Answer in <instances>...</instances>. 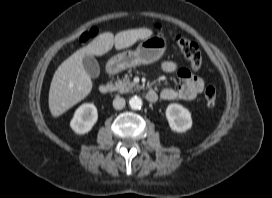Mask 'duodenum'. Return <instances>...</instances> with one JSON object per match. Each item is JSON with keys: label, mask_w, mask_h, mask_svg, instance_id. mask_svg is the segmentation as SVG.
Here are the masks:
<instances>
[{"label": "duodenum", "mask_w": 272, "mask_h": 198, "mask_svg": "<svg viewBox=\"0 0 272 198\" xmlns=\"http://www.w3.org/2000/svg\"><path fill=\"white\" fill-rule=\"evenodd\" d=\"M114 71L111 69L110 73H113ZM113 87L111 84L104 83L100 85L99 92L103 95H107L112 91ZM146 99L149 102H155L157 100V94L154 91H149L146 94Z\"/></svg>", "instance_id": "410a0bca"}]
</instances>
